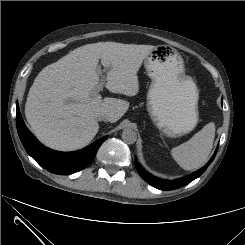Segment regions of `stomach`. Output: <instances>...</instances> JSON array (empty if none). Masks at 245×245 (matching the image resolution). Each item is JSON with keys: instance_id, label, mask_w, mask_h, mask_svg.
I'll return each instance as SVG.
<instances>
[{"instance_id": "obj_1", "label": "stomach", "mask_w": 245, "mask_h": 245, "mask_svg": "<svg viewBox=\"0 0 245 245\" xmlns=\"http://www.w3.org/2000/svg\"><path fill=\"white\" fill-rule=\"evenodd\" d=\"M144 67L152 81L147 107L156 126L169 137L191 132L199 120V92L185 74L182 56L169 45H158L144 59Z\"/></svg>"}]
</instances>
